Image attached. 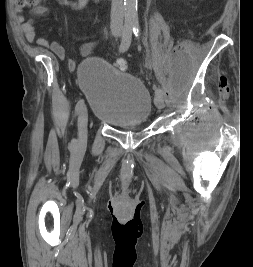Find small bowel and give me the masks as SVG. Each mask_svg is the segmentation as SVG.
Listing matches in <instances>:
<instances>
[{"label": "small bowel", "mask_w": 253, "mask_h": 267, "mask_svg": "<svg viewBox=\"0 0 253 267\" xmlns=\"http://www.w3.org/2000/svg\"><path fill=\"white\" fill-rule=\"evenodd\" d=\"M90 1L97 2L99 0H58V2L65 6L70 8L73 11H81L83 10ZM46 9L44 7H39L34 10V13L36 15L45 13ZM21 30L25 35V38L28 42L33 43L37 42L40 46L50 49L58 58L63 59L65 57V50L64 47L57 41H48L47 39L43 37H38L37 33L34 28V20L32 18L26 19L21 24ZM98 31L99 36L96 39L85 41L80 45L79 52L82 56H89L97 44L106 36V28L98 24Z\"/></svg>", "instance_id": "c3829d8e"}]
</instances>
